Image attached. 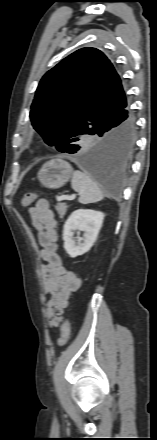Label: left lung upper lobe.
Returning a JSON list of instances; mask_svg holds the SVG:
<instances>
[{
    "instance_id": "5c2ea615",
    "label": "left lung upper lobe",
    "mask_w": 157,
    "mask_h": 440,
    "mask_svg": "<svg viewBox=\"0 0 157 440\" xmlns=\"http://www.w3.org/2000/svg\"><path fill=\"white\" fill-rule=\"evenodd\" d=\"M126 101L110 60L98 49L82 48L43 76L30 119L48 145L64 152L93 135L106 116Z\"/></svg>"
}]
</instances>
